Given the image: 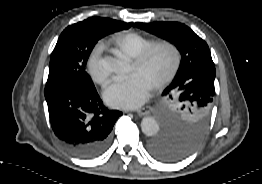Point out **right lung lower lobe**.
I'll return each mask as SVG.
<instances>
[{
    "mask_svg": "<svg viewBox=\"0 0 262 184\" xmlns=\"http://www.w3.org/2000/svg\"><path fill=\"white\" fill-rule=\"evenodd\" d=\"M44 94L52 129L68 151L81 158L104 153L121 112L108 110L95 88L74 83L46 85Z\"/></svg>",
    "mask_w": 262,
    "mask_h": 184,
    "instance_id": "98d812e1",
    "label": "right lung lower lobe"
}]
</instances>
